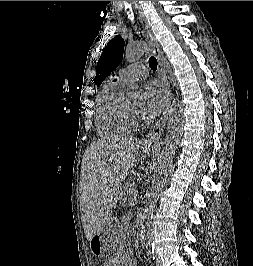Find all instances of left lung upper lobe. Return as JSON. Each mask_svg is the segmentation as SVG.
<instances>
[{"label":"left lung upper lobe","mask_w":253,"mask_h":266,"mask_svg":"<svg viewBox=\"0 0 253 266\" xmlns=\"http://www.w3.org/2000/svg\"><path fill=\"white\" fill-rule=\"evenodd\" d=\"M124 44L123 38L118 35L104 48L96 67L97 73L94 82L97 86L101 85L103 80L120 64L123 57Z\"/></svg>","instance_id":"1"}]
</instances>
